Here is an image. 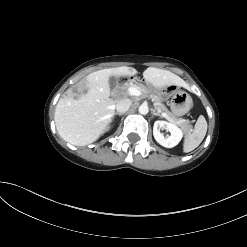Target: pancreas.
Masks as SVG:
<instances>
[{
	"instance_id": "1",
	"label": "pancreas",
	"mask_w": 247,
	"mask_h": 247,
	"mask_svg": "<svg viewBox=\"0 0 247 247\" xmlns=\"http://www.w3.org/2000/svg\"><path fill=\"white\" fill-rule=\"evenodd\" d=\"M133 86L139 88V90L144 93H148V90L144 88L143 85L134 84ZM149 96L154 101L156 110L166 113L169 118L168 120L180 126L186 133L190 132L191 125L182 119L176 118L170 111H168L167 107L161 102V98L159 96L154 95V94H150Z\"/></svg>"
}]
</instances>
